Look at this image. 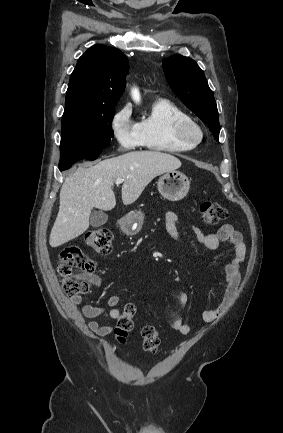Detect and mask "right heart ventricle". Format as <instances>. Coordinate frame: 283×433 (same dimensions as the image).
<instances>
[{"instance_id": "e07e8e85", "label": "right heart ventricle", "mask_w": 283, "mask_h": 433, "mask_svg": "<svg viewBox=\"0 0 283 433\" xmlns=\"http://www.w3.org/2000/svg\"><path fill=\"white\" fill-rule=\"evenodd\" d=\"M189 115L169 100L158 99L149 113L139 122V129L146 145L153 150L177 153L183 151L173 139V127L177 119Z\"/></svg>"}]
</instances>
